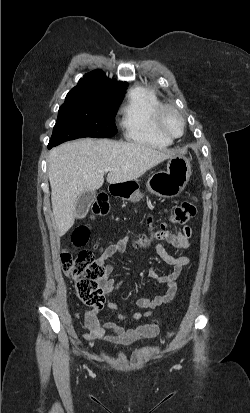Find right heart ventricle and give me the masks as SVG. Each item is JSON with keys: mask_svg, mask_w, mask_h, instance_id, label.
Listing matches in <instances>:
<instances>
[{"mask_svg": "<svg viewBox=\"0 0 250 413\" xmlns=\"http://www.w3.org/2000/svg\"><path fill=\"white\" fill-rule=\"evenodd\" d=\"M161 101L150 89H132L121 108L120 125L124 137L132 142L155 148H166L171 140L163 137L155 128L154 117Z\"/></svg>", "mask_w": 250, "mask_h": 413, "instance_id": "e07e8e85", "label": "right heart ventricle"}]
</instances>
